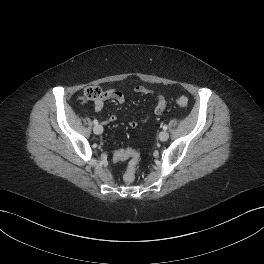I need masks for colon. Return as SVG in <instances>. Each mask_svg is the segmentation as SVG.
Masks as SVG:
<instances>
[{
	"label": "colon",
	"instance_id": "colon-1",
	"mask_svg": "<svg viewBox=\"0 0 264 264\" xmlns=\"http://www.w3.org/2000/svg\"><path fill=\"white\" fill-rule=\"evenodd\" d=\"M103 95V91L101 88L96 86L88 87L85 92L84 96L89 101H95L101 98ZM176 102L181 107H186L189 104V100L185 96H180L176 99ZM119 157L128 160L127 169L124 175V180L127 183H132L135 179L136 168L140 159L139 153L134 149H124L121 150L119 153Z\"/></svg>",
	"mask_w": 264,
	"mask_h": 264
}]
</instances>
